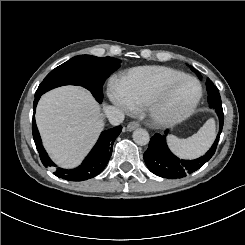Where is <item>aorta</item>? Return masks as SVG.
<instances>
[{
	"label": "aorta",
	"mask_w": 245,
	"mask_h": 245,
	"mask_svg": "<svg viewBox=\"0 0 245 245\" xmlns=\"http://www.w3.org/2000/svg\"><path fill=\"white\" fill-rule=\"evenodd\" d=\"M132 137H133L134 142L141 146L148 144L150 140L149 133L145 129H142V128L136 129L133 132Z\"/></svg>",
	"instance_id": "aorta-1"
}]
</instances>
